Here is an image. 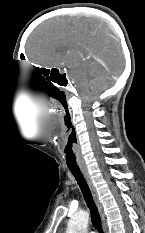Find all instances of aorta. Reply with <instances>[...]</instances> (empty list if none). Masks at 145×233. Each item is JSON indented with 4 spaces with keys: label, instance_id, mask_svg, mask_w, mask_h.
<instances>
[{
    "label": "aorta",
    "instance_id": "aorta-1",
    "mask_svg": "<svg viewBox=\"0 0 145 233\" xmlns=\"http://www.w3.org/2000/svg\"><path fill=\"white\" fill-rule=\"evenodd\" d=\"M88 221L89 213L80 211L70 218L66 233H87Z\"/></svg>",
    "mask_w": 145,
    "mask_h": 233
}]
</instances>
